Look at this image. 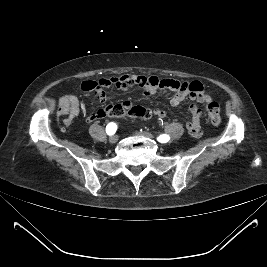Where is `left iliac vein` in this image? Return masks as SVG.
Segmentation results:
<instances>
[{
    "mask_svg": "<svg viewBox=\"0 0 267 267\" xmlns=\"http://www.w3.org/2000/svg\"><path fill=\"white\" fill-rule=\"evenodd\" d=\"M135 134L145 138L154 139V136L149 132H136Z\"/></svg>",
    "mask_w": 267,
    "mask_h": 267,
    "instance_id": "obj_1",
    "label": "left iliac vein"
}]
</instances>
